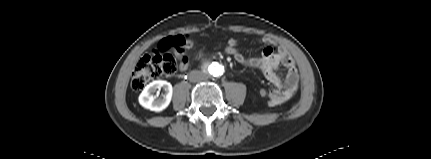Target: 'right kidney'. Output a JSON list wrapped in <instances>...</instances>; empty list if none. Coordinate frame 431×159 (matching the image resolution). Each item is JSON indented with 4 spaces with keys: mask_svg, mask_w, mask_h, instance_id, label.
<instances>
[{
    "mask_svg": "<svg viewBox=\"0 0 431 159\" xmlns=\"http://www.w3.org/2000/svg\"><path fill=\"white\" fill-rule=\"evenodd\" d=\"M163 88L164 94L158 97L159 92ZM173 94L172 85L164 80H156L148 84L139 95V103L142 107L151 111L160 112L168 107Z\"/></svg>",
    "mask_w": 431,
    "mask_h": 159,
    "instance_id": "1",
    "label": "right kidney"
}]
</instances>
